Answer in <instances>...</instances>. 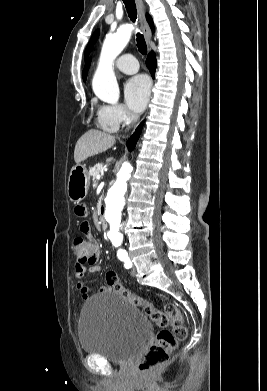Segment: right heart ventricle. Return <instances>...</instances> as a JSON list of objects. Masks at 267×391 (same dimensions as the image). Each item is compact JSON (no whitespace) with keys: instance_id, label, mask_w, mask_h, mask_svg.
Returning <instances> with one entry per match:
<instances>
[{"instance_id":"1","label":"right heart ventricle","mask_w":267,"mask_h":391,"mask_svg":"<svg viewBox=\"0 0 267 391\" xmlns=\"http://www.w3.org/2000/svg\"><path fill=\"white\" fill-rule=\"evenodd\" d=\"M99 123H100V126H101L104 130H107V131H114V130H115V128H113V127H111V126H109V125H107V124H105V123H103V122H101V121H99Z\"/></svg>"}]
</instances>
